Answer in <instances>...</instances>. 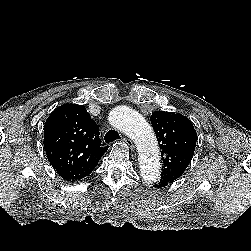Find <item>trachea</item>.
Listing matches in <instances>:
<instances>
[{"instance_id": "3493384b", "label": "trachea", "mask_w": 251, "mask_h": 251, "mask_svg": "<svg viewBox=\"0 0 251 251\" xmlns=\"http://www.w3.org/2000/svg\"><path fill=\"white\" fill-rule=\"evenodd\" d=\"M105 142L106 143H112L116 140H119L120 139V135L117 131L115 130H109L106 134H105Z\"/></svg>"}]
</instances>
